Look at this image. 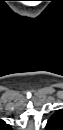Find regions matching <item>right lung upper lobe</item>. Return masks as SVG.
<instances>
[{"instance_id": "obj_1", "label": "right lung upper lobe", "mask_w": 63, "mask_h": 130, "mask_svg": "<svg viewBox=\"0 0 63 130\" xmlns=\"http://www.w3.org/2000/svg\"><path fill=\"white\" fill-rule=\"evenodd\" d=\"M3 126H6L7 128H9V127H10L9 125H6L4 122H3Z\"/></svg>"}]
</instances>
